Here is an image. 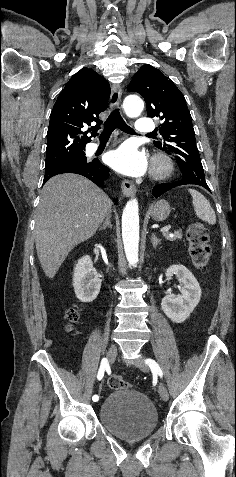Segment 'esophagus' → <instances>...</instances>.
<instances>
[{
  "instance_id": "obj_1",
  "label": "esophagus",
  "mask_w": 236,
  "mask_h": 477,
  "mask_svg": "<svg viewBox=\"0 0 236 477\" xmlns=\"http://www.w3.org/2000/svg\"><path fill=\"white\" fill-rule=\"evenodd\" d=\"M121 88L119 85H113L111 88V96H110V106L111 108H117L119 106L121 100ZM121 190L124 196L130 197L135 194L136 187L135 185L129 180H123L121 183Z\"/></svg>"
}]
</instances>
